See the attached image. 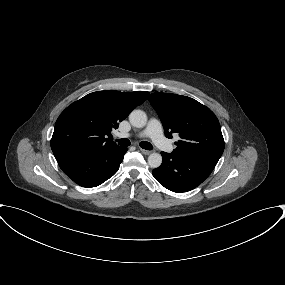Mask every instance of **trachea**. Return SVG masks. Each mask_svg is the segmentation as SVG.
Returning <instances> with one entry per match:
<instances>
[{
	"label": "trachea",
	"mask_w": 285,
	"mask_h": 285,
	"mask_svg": "<svg viewBox=\"0 0 285 285\" xmlns=\"http://www.w3.org/2000/svg\"><path fill=\"white\" fill-rule=\"evenodd\" d=\"M118 142L119 145L121 146H129L130 145V141L128 139H119V140H116ZM140 147L143 148V149H146V150H152L153 149V146L151 143L149 142H146V141H142L140 142Z\"/></svg>",
	"instance_id": "trachea-1"
}]
</instances>
